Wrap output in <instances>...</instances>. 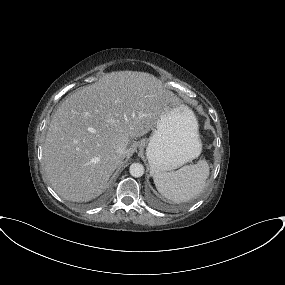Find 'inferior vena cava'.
Here are the masks:
<instances>
[{
	"label": "inferior vena cava",
	"instance_id": "1",
	"mask_svg": "<svg viewBox=\"0 0 285 285\" xmlns=\"http://www.w3.org/2000/svg\"><path fill=\"white\" fill-rule=\"evenodd\" d=\"M125 153H126L125 148L120 147V148L117 149V154H118L120 157H124V156H125Z\"/></svg>",
	"mask_w": 285,
	"mask_h": 285
}]
</instances>
